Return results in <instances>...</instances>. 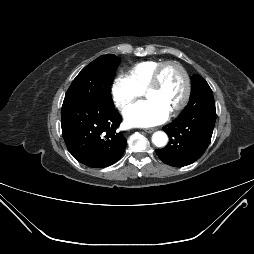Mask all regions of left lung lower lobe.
<instances>
[{
	"mask_svg": "<svg viewBox=\"0 0 254 254\" xmlns=\"http://www.w3.org/2000/svg\"><path fill=\"white\" fill-rule=\"evenodd\" d=\"M216 120L215 105H187L180 116L163 127L169 143L156 153L164 163L183 167L199 159L210 144Z\"/></svg>",
	"mask_w": 254,
	"mask_h": 254,
	"instance_id": "obj_1",
	"label": "left lung lower lobe"
}]
</instances>
